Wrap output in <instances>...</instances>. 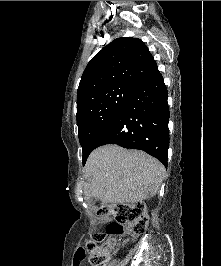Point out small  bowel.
<instances>
[{
	"mask_svg": "<svg viewBox=\"0 0 221 266\" xmlns=\"http://www.w3.org/2000/svg\"><path fill=\"white\" fill-rule=\"evenodd\" d=\"M103 221H108V217H103ZM77 251H85L86 247L85 246H77L76 247ZM74 261H73V266H85L83 264L84 262V252H74Z\"/></svg>",
	"mask_w": 221,
	"mask_h": 266,
	"instance_id": "obj_1",
	"label": "small bowel"
}]
</instances>
